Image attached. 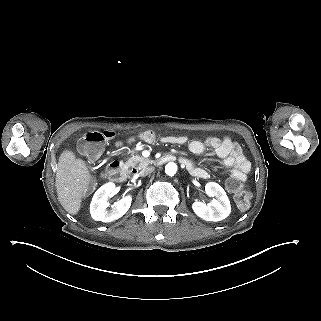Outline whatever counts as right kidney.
Here are the masks:
<instances>
[{"instance_id":"right-kidney-1","label":"right kidney","mask_w":321,"mask_h":321,"mask_svg":"<svg viewBox=\"0 0 321 321\" xmlns=\"http://www.w3.org/2000/svg\"><path fill=\"white\" fill-rule=\"evenodd\" d=\"M116 186L108 182L101 186L94 194L90 204L91 217L96 221L112 222L122 217L130 208L132 197L130 195L123 197L115 202L110 210H107V202L110 194H116Z\"/></svg>"}]
</instances>
